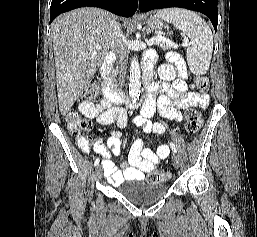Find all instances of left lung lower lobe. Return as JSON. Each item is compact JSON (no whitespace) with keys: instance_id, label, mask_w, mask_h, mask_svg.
Here are the masks:
<instances>
[{"instance_id":"1","label":"left lung lower lobe","mask_w":257,"mask_h":237,"mask_svg":"<svg viewBox=\"0 0 257 237\" xmlns=\"http://www.w3.org/2000/svg\"><path fill=\"white\" fill-rule=\"evenodd\" d=\"M139 7L141 12L169 7H180L198 11L209 17L215 31L217 30V0H140Z\"/></svg>"}]
</instances>
